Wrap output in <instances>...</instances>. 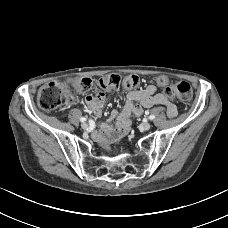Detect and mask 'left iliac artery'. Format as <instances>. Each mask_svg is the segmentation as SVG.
I'll list each match as a JSON object with an SVG mask.
<instances>
[{
  "mask_svg": "<svg viewBox=\"0 0 228 228\" xmlns=\"http://www.w3.org/2000/svg\"><path fill=\"white\" fill-rule=\"evenodd\" d=\"M149 119H150V120H154V119H155V116H154V115H150V116H149Z\"/></svg>",
  "mask_w": 228,
  "mask_h": 228,
  "instance_id": "44dca946",
  "label": "left iliac artery"
}]
</instances>
